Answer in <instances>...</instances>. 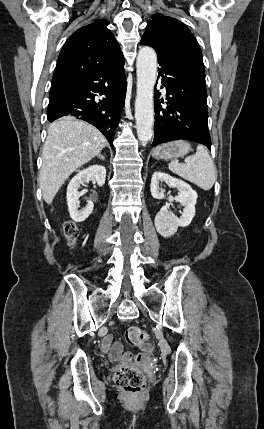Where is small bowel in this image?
<instances>
[{"label": "small bowel", "mask_w": 264, "mask_h": 429, "mask_svg": "<svg viewBox=\"0 0 264 429\" xmlns=\"http://www.w3.org/2000/svg\"><path fill=\"white\" fill-rule=\"evenodd\" d=\"M101 349L104 353H106L112 360H120L124 363H129L132 361L133 356L130 353L123 354V347L121 343L115 342L113 343V339L111 335H107L103 338ZM150 345L142 346V351L144 353L150 352Z\"/></svg>", "instance_id": "obj_1"}]
</instances>
